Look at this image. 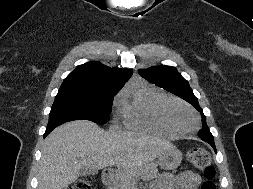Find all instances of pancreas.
<instances>
[{
  "label": "pancreas",
  "instance_id": "pancreas-1",
  "mask_svg": "<svg viewBox=\"0 0 253 189\" xmlns=\"http://www.w3.org/2000/svg\"><path fill=\"white\" fill-rule=\"evenodd\" d=\"M158 170L155 165H148L140 171L122 169L117 171L111 178V186L108 189H130L138 176L151 180L158 177Z\"/></svg>",
  "mask_w": 253,
  "mask_h": 189
}]
</instances>
